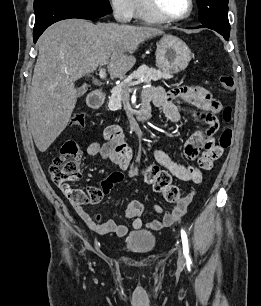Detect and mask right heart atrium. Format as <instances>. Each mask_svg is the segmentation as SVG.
Here are the masks:
<instances>
[{
  "label": "right heart atrium",
  "instance_id": "obj_1",
  "mask_svg": "<svg viewBox=\"0 0 261 306\" xmlns=\"http://www.w3.org/2000/svg\"><path fill=\"white\" fill-rule=\"evenodd\" d=\"M135 0H109V5L115 18L121 22L131 20L134 15Z\"/></svg>",
  "mask_w": 261,
  "mask_h": 306
}]
</instances>
